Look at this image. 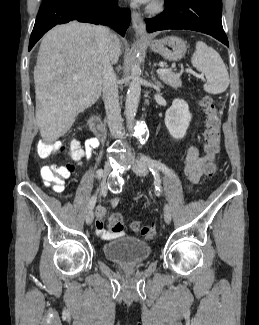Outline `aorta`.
<instances>
[{
  "instance_id": "762f6f07",
  "label": "aorta",
  "mask_w": 259,
  "mask_h": 325,
  "mask_svg": "<svg viewBox=\"0 0 259 325\" xmlns=\"http://www.w3.org/2000/svg\"><path fill=\"white\" fill-rule=\"evenodd\" d=\"M136 57H139V53H137ZM141 68L138 63H135L131 69V76H130V84L126 95V102H125V115L126 121L129 127L132 126L139 101H140V94H141Z\"/></svg>"
}]
</instances>
